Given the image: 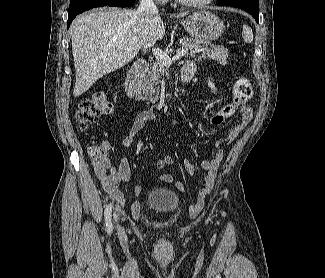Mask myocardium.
<instances>
[{
    "instance_id": "1",
    "label": "myocardium",
    "mask_w": 325,
    "mask_h": 278,
    "mask_svg": "<svg viewBox=\"0 0 325 278\" xmlns=\"http://www.w3.org/2000/svg\"><path fill=\"white\" fill-rule=\"evenodd\" d=\"M177 3L188 7H205L214 0H175Z\"/></svg>"
}]
</instances>
